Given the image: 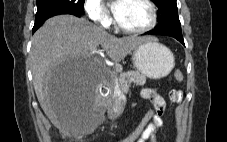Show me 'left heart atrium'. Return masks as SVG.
Here are the masks:
<instances>
[{
	"label": "left heart atrium",
	"instance_id": "left-heart-atrium-1",
	"mask_svg": "<svg viewBox=\"0 0 227 142\" xmlns=\"http://www.w3.org/2000/svg\"><path fill=\"white\" fill-rule=\"evenodd\" d=\"M120 1H121V0H116V2L114 3V7H113V11H114V13H116V11H117V7H118V5H119Z\"/></svg>",
	"mask_w": 227,
	"mask_h": 142
}]
</instances>
